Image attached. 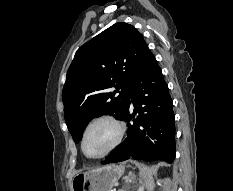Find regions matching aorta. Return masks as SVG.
<instances>
[{
  "label": "aorta",
  "instance_id": "obj_1",
  "mask_svg": "<svg viewBox=\"0 0 233 191\" xmlns=\"http://www.w3.org/2000/svg\"><path fill=\"white\" fill-rule=\"evenodd\" d=\"M138 191H144V185H143V184H141V185L139 186Z\"/></svg>",
  "mask_w": 233,
  "mask_h": 191
}]
</instances>
